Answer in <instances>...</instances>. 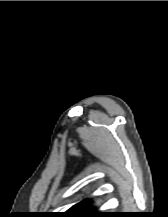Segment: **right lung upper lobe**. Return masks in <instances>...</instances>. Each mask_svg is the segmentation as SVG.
I'll return each mask as SVG.
<instances>
[{
	"label": "right lung upper lobe",
	"instance_id": "1",
	"mask_svg": "<svg viewBox=\"0 0 168 217\" xmlns=\"http://www.w3.org/2000/svg\"><path fill=\"white\" fill-rule=\"evenodd\" d=\"M106 213L97 212L95 208L90 206L88 199L81 201L80 203L71 207L68 211L63 212L62 217H103Z\"/></svg>",
	"mask_w": 168,
	"mask_h": 217
}]
</instances>
